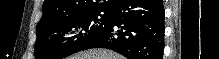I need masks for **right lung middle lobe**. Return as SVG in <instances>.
<instances>
[{
	"instance_id": "right-lung-middle-lobe-1",
	"label": "right lung middle lobe",
	"mask_w": 219,
	"mask_h": 59,
	"mask_svg": "<svg viewBox=\"0 0 219 59\" xmlns=\"http://www.w3.org/2000/svg\"><path fill=\"white\" fill-rule=\"evenodd\" d=\"M110 11L94 12L58 19L37 27L35 59H63L104 32Z\"/></svg>"
}]
</instances>
